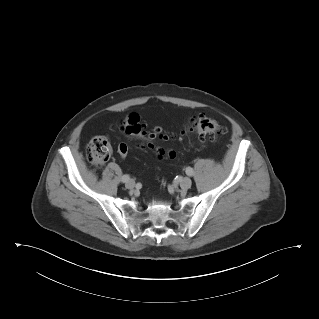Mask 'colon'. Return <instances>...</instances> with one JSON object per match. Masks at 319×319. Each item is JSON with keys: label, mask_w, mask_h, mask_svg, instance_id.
Returning a JSON list of instances; mask_svg holds the SVG:
<instances>
[{"label": "colon", "mask_w": 319, "mask_h": 319, "mask_svg": "<svg viewBox=\"0 0 319 319\" xmlns=\"http://www.w3.org/2000/svg\"><path fill=\"white\" fill-rule=\"evenodd\" d=\"M121 131L132 139L139 140L146 145L154 146L159 158L168 157L173 159L176 157L175 151L166 150L154 145L157 140L165 139L162 130L159 128L148 130L135 114H131L125 119ZM187 131L196 134L203 140H214L224 135L227 129L217 120L205 114H200L192 118ZM127 152V145L124 143L119 144L118 153L124 157ZM86 155L95 166H102L111 155V146L108 138L102 135L91 138L86 147Z\"/></svg>", "instance_id": "5ec220e1"}]
</instances>
